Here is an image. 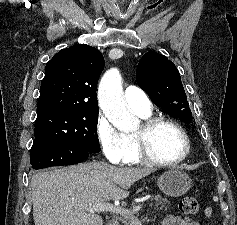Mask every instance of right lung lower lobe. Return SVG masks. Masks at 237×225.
<instances>
[{"instance_id": "obj_1", "label": "right lung lower lobe", "mask_w": 237, "mask_h": 225, "mask_svg": "<svg viewBox=\"0 0 237 225\" xmlns=\"http://www.w3.org/2000/svg\"><path fill=\"white\" fill-rule=\"evenodd\" d=\"M89 153L60 142L35 140L30 153L31 169L77 164L88 158Z\"/></svg>"}]
</instances>
